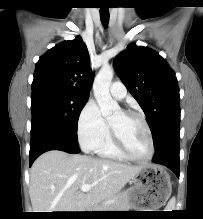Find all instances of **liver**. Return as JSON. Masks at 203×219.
<instances>
[{
	"label": "liver",
	"mask_w": 203,
	"mask_h": 219,
	"mask_svg": "<svg viewBox=\"0 0 203 219\" xmlns=\"http://www.w3.org/2000/svg\"><path fill=\"white\" fill-rule=\"evenodd\" d=\"M142 166L52 150L30 170L34 212H85L115 196ZM94 184L86 193L80 187Z\"/></svg>",
	"instance_id": "6515ba94"
}]
</instances>
